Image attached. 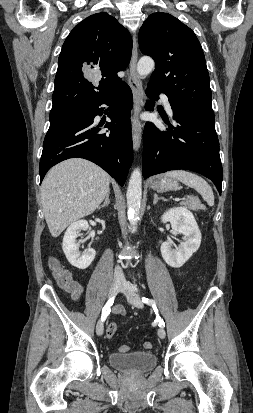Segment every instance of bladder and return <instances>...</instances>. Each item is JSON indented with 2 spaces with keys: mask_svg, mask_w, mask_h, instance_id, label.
Here are the masks:
<instances>
[{
  "mask_svg": "<svg viewBox=\"0 0 253 413\" xmlns=\"http://www.w3.org/2000/svg\"><path fill=\"white\" fill-rule=\"evenodd\" d=\"M109 363L121 371L142 374L152 370L157 364V356L148 351L111 353Z\"/></svg>",
  "mask_w": 253,
  "mask_h": 413,
  "instance_id": "bladder-1",
  "label": "bladder"
}]
</instances>
